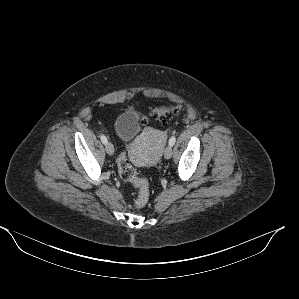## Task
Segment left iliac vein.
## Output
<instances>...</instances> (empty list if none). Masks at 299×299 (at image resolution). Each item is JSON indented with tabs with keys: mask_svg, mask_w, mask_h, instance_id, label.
<instances>
[{
	"mask_svg": "<svg viewBox=\"0 0 299 299\" xmlns=\"http://www.w3.org/2000/svg\"><path fill=\"white\" fill-rule=\"evenodd\" d=\"M173 153V149L171 145H168L164 150V157L166 159H170Z\"/></svg>",
	"mask_w": 299,
	"mask_h": 299,
	"instance_id": "4c4485c4",
	"label": "left iliac vein"
}]
</instances>
